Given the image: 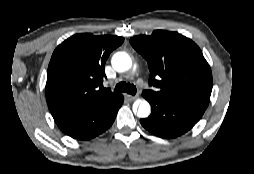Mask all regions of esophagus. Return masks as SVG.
I'll use <instances>...</instances> for the list:
<instances>
[{"label":"esophagus","instance_id":"34e87169","mask_svg":"<svg viewBox=\"0 0 254 174\" xmlns=\"http://www.w3.org/2000/svg\"><path fill=\"white\" fill-rule=\"evenodd\" d=\"M125 98H126L127 101H133V100L137 99L138 97H137V96H133V95L126 94V95H125Z\"/></svg>","mask_w":254,"mask_h":174}]
</instances>
